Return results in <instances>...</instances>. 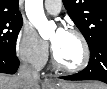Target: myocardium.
<instances>
[{
    "label": "myocardium",
    "mask_w": 107,
    "mask_h": 89,
    "mask_svg": "<svg viewBox=\"0 0 107 89\" xmlns=\"http://www.w3.org/2000/svg\"><path fill=\"white\" fill-rule=\"evenodd\" d=\"M64 31L74 35L80 41L82 50H83L82 61L78 65L73 66V67L63 65L57 59L54 49H52V62H53V65L60 71L68 72V73H76L87 67L90 61V55H91L90 47H89L87 39L85 38L83 33L79 31L78 29L70 27V28H66Z\"/></svg>",
    "instance_id": "obj_1"
}]
</instances>
